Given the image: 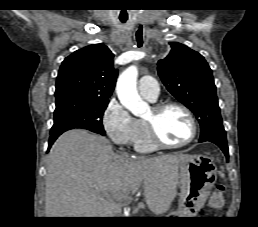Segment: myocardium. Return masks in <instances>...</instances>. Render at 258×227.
Returning <instances> with one entry per match:
<instances>
[{"label":"myocardium","instance_id":"f54148a6","mask_svg":"<svg viewBox=\"0 0 258 227\" xmlns=\"http://www.w3.org/2000/svg\"><path fill=\"white\" fill-rule=\"evenodd\" d=\"M171 107H175V108L182 110L188 117L190 125H191L190 136L186 140H184L180 143L166 142L160 137L158 130L156 128L155 122L152 120L145 119L144 122L146 124L149 136L156 147L180 148V147L190 144L197 136V132H198L197 121H196L192 111L186 105L179 103V102H175V101H166V102H162V103L153 105L151 109L154 111L155 114H160L164 110L171 108Z\"/></svg>","mask_w":258,"mask_h":227}]
</instances>
